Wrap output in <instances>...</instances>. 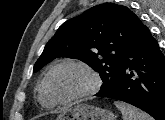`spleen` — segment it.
<instances>
[{
  "label": "spleen",
  "mask_w": 165,
  "mask_h": 120,
  "mask_svg": "<svg viewBox=\"0 0 165 120\" xmlns=\"http://www.w3.org/2000/svg\"><path fill=\"white\" fill-rule=\"evenodd\" d=\"M114 104L121 111L123 120H153L147 113L132 105L119 101H115Z\"/></svg>",
  "instance_id": "spleen-1"
}]
</instances>
